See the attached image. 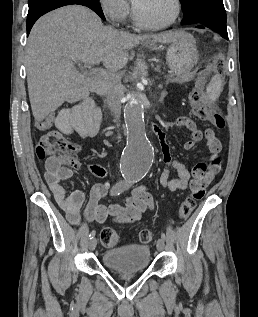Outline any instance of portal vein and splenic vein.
I'll use <instances>...</instances> for the list:
<instances>
[{"mask_svg":"<svg viewBox=\"0 0 258 317\" xmlns=\"http://www.w3.org/2000/svg\"><path fill=\"white\" fill-rule=\"evenodd\" d=\"M76 62H78V60H76ZM78 64H80V62H78ZM92 70H95V72H98V70H100V68H92Z\"/></svg>","mask_w":258,"mask_h":317,"instance_id":"portal-vein-and-splenic-vein-1","label":"portal vein and splenic vein"}]
</instances>
